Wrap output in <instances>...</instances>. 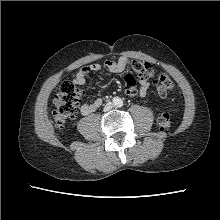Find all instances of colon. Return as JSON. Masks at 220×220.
Segmentation results:
<instances>
[{
    "mask_svg": "<svg viewBox=\"0 0 220 220\" xmlns=\"http://www.w3.org/2000/svg\"><path fill=\"white\" fill-rule=\"evenodd\" d=\"M132 73L124 77L125 86L136 87V78L155 80V87L159 95L166 96L174 87L172 78L167 74L156 75L154 67L148 63L138 60L131 62ZM81 90L74 82L65 81L60 85L55 96V110L53 112L54 123L58 127L64 126L76 114L80 104ZM158 125L163 129H169L172 125V116L168 111H164L158 117Z\"/></svg>",
    "mask_w": 220,
    "mask_h": 220,
    "instance_id": "obj_1",
    "label": "colon"
}]
</instances>
